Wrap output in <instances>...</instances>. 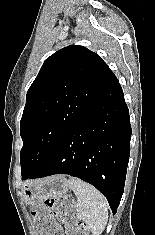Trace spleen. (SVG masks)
<instances>
[{
    "label": "spleen",
    "instance_id": "spleen-1",
    "mask_svg": "<svg viewBox=\"0 0 155 235\" xmlns=\"http://www.w3.org/2000/svg\"><path fill=\"white\" fill-rule=\"evenodd\" d=\"M68 186L77 197V217L85 222L92 235H101L108 221V202L92 185L71 178Z\"/></svg>",
    "mask_w": 155,
    "mask_h": 235
}]
</instances>
